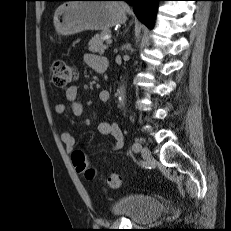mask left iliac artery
Here are the masks:
<instances>
[{
	"mask_svg": "<svg viewBox=\"0 0 231 231\" xmlns=\"http://www.w3.org/2000/svg\"><path fill=\"white\" fill-rule=\"evenodd\" d=\"M141 147H142L141 144H140L139 142H136V143L133 144L132 150H133L135 153H137V152L140 151Z\"/></svg>",
	"mask_w": 231,
	"mask_h": 231,
	"instance_id": "obj_1",
	"label": "left iliac artery"
}]
</instances>
